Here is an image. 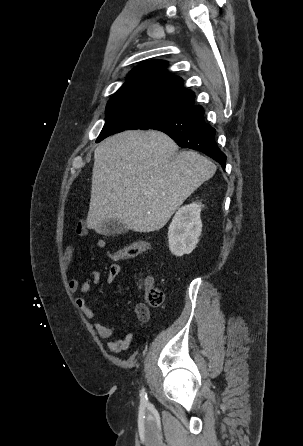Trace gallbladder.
<instances>
[{
    "label": "gallbladder",
    "instance_id": "1",
    "mask_svg": "<svg viewBox=\"0 0 303 446\" xmlns=\"http://www.w3.org/2000/svg\"><path fill=\"white\" fill-rule=\"evenodd\" d=\"M107 235L121 234L126 232V227L123 225H118L113 221H109L103 224Z\"/></svg>",
    "mask_w": 303,
    "mask_h": 446
}]
</instances>
